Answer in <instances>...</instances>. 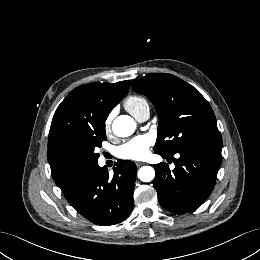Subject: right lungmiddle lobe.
<instances>
[{
	"label": "right lung middle lobe",
	"mask_w": 260,
	"mask_h": 260,
	"mask_svg": "<svg viewBox=\"0 0 260 260\" xmlns=\"http://www.w3.org/2000/svg\"><path fill=\"white\" fill-rule=\"evenodd\" d=\"M105 140V124L90 131L83 138L79 146V159L84 170L98 164L99 154L95 152V149L101 147L102 141Z\"/></svg>",
	"instance_id": "obj_1"
}]
</instances>
